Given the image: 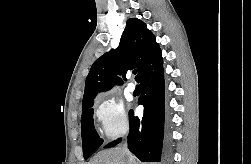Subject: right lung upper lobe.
Here are the masks:
<instances>
[{"instance_id":"cb5924a9","label":"right lung upper lobe","mask_w":251,"mask_h":164,"mask_svg":"<svg viewBox=\"0 0 251 164\" xmlns=\"http://www.w3.org/2000/svg\"><path fill=\"white\" fill-rule=\"evenodd\" d=\"M162 63L160 47L146 24L136 18L128 19L118 48L105 53L92 65L85 82L82 108L91 104L97 93L111 89L117 74H122L126 80V72L136 68L139 81Z\"/></svg>"}]
</instances>
